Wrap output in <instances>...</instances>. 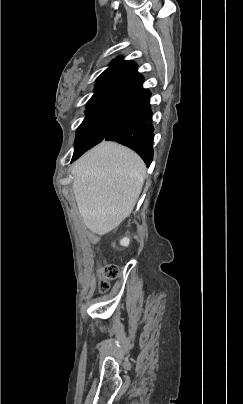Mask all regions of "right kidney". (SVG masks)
I'll return each mask as SVG.
<instances>
[{"instance_id": "1", "label": "right kidney", "mask_w": 243, "mask_h": 404, "mask_svg": "<svg viewBox=\"0 0 243 404\" xmlns=\"http://www.w3.org/2000/svg\"><path fill=\"white\" fill-rule=\"evenodd\" d=\"M129 244H130L129 238H122V240H120V246H126V248H127V246H129Z\"/></svg>"}]
</instances>
